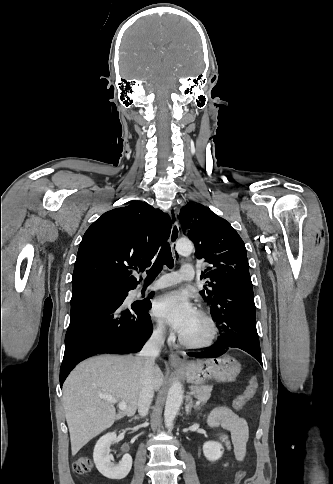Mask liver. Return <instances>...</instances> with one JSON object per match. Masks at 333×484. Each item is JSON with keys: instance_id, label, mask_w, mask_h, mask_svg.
<instances>
[{"instance_id": "6515ba94", "label": "liver", "mask_w": 333, "mask_h": 484, "mask_svg": "<svg viewBox=\"0 0 333 484\" xmlns=\"http://www.w3.org/2000/svg\"><path fill=\"white\" fill-rule=\"evenodd\" d=\"M154 389H159L164 376L158 366L152 371ZM140 369L133 356H97L79 364L63 385V406L72 455L112 424L125 416L132 417L138 407ZM109 396L127 404L116 413Z\"/></svg>"}]
</instances>
